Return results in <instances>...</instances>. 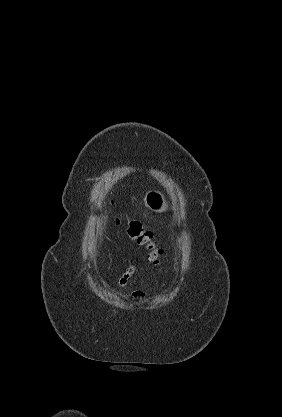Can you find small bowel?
Segmentation results:
<instances>
[{
    "instance_id": "small-bowel-1",
    "label": "small bowel",
    "mask_w": 282,
    "mask_h": 417,
    "mask_svg": "<svg viewBox=\"0 0 282 417\" xmlns=\"http://www.w3.org/2000/svg\"><path fill=\"white\" fill-rule=\"evenodd\" d=\"M136 267L135 265H130L127 270L122 274L119 279V287L121 289L120 294H123L124 289L128 285V282L132 275L135 273ZM128 296L133 299H142L146 297V292L142 289H135L132 290Z\"/></svg>"
}]
</instances>
